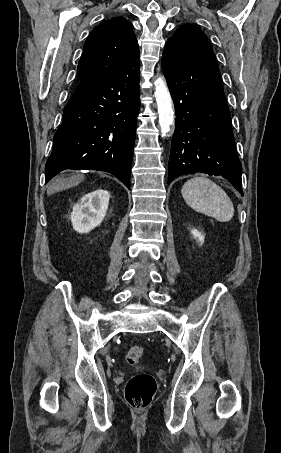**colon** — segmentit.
<instances>
[{"label": "colon", "mask_w": 281, "mask_h": 453, "mask_svg": "<svg viewBox=\"0 0 281 453\" xmlns=\"http://www.w3.org/2000/svg\"><path fill=\"white\" fill-rule=\"evenodd\" d=\"M128 364L138 365L143 362L144 349L134 345L125 354ZM156 392L155 379L150 374L135 373L129 376L124 395L128 405L135 410H144L149 407Z\"/></svg>", "instance_id": "5ec220e1"}]
</instances>
